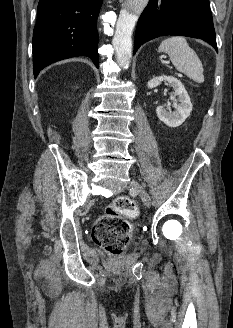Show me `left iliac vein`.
<instances>
[{
	"label": "left iliac vein",
	"instance_id": "obj_1",
	"mask_svg": "<svg viewBox=\"0 0 233 328\" xmlns=\"http://www.w3.org/2000/svg\"><path fill=\"white\" fill-rule=\"evenodd\" d=\"M130 186L137 192L145 206H151V198L138 180H132Z\"/></svg>",
	"mask_w": 233,
	"mask_h": 328
}]
</instances>
